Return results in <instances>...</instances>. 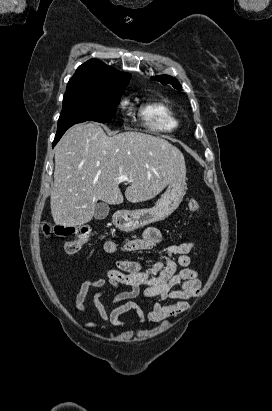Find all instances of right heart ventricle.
<instances>
[{"instance_id": "right-heart-ventricle-1", "label": "right heart ventricle", "mask_w": 272, "mask_h": 411, "mask_svg": "<svg viewBox=\"0 0 272 411\" xmlns=\"http://www.w3.org/2000/svg\"><path fill=\"white\" fill-rule=\"evenodd\" d=\"M139 115L152 130L170 132L178 127V120L167 105L148 101L139 108Z\"/></svg>"}]
</instances>
